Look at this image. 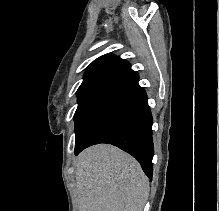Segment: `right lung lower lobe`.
<instances>
[{
	"label": "right lung lower lobe",
	"instance_id": "98d812e1",
	"mask_svg": "<svg viewBox=\"0 0 219 211\" xmlns=\"http://www.w3.org/2000/svg\"><path fill=\"white\" fill-rule=\"evenodd\" d=\"M152 115L145 90L134 73L109 91L75 140V154L99 143L128 152L152 178Z\"/></svg>",
	"mask_w": 219,
	"mask_h": 211
}]
</instances>
